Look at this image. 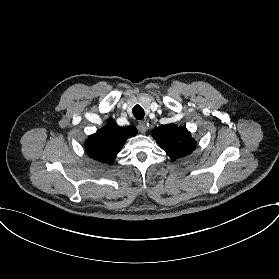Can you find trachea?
Segmentation results:
<instances>
[{
	"mask_svg": "<svg viewBox=\"0 0 279 279\" xmlns=\"http://www.w3.org/2000/svg\"><path fill=\"white\" fill-rule=\"evenodd\" d=\"M133 114L137 120L144 118V109L140 105H135L133 107Z\"/></svg>",
	"mask_w": 279,
	"mask_h": 279,
	"instance_id": "3493384b",
	"label": "trachea"
}]
</instances>
